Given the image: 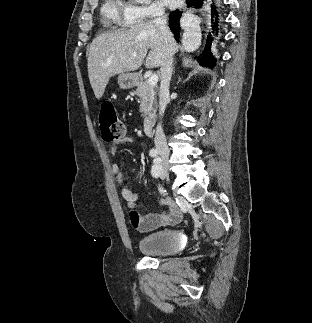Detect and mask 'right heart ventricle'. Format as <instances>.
<instances>
[{
    "label": "right heart ventricle",
    "mask_w": 312,
    "mask_h": 323,
    "mask_svg": "<svg viewBox=\"0 0 312 323\" xmlns=\"http://www.w3.org/2000/svg\"><path fill=\"white\" fill-rule=\"evenodd\" d=\"M114 0H107L104 5H100L97 11L99 20H122L123 16H127V9H118L117 13L113 11Z\"/></svg>",
    "instance_id": "right-heart-ventricle-1"
}]
</instances>
